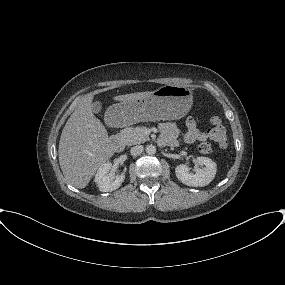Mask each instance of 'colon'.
I'll use <instances>...</instances> for the list:
<instances>
[{
  "label": "colon",
  "instance_id": "5ec220e1",
  "mask_svg": "<svg viewBox=\"0 0 285 285\" xmlns=\"http://www.w3.org/2000/svg\"><path fill=\"white\" fill-rule=\"evenodd\" d=\"M211 128L209 136L211 140L220 148L226 149L228 146L227 130L224 122L221 118L214 116L210 119ZM211 146L209 143H202L199 146V151L203 154L211 152Z\"/></svg>",
  "mask_w": 285,
  "mask_h": 285
}]
</instances>
